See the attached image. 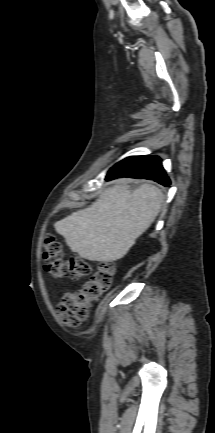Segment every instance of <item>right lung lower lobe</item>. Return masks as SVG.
Returning a JSON list of instances; mask_svg holds the SVG:
<instances>
[{
  "label": "right lung lower lobe",
  "instance_id": "1",
  "mask_svg": "<svg viewBox=\"0 0 215 433\" xmlns=\"http://www.w3.org/2000/svg\"><path fill=\"white\" fill-rule=\"evenodd\" d=\"M118 177L148 179L164 186L170 185V179L167 177L161 160L157 156H131L118 162L110 169L106 179L110 180Z\"/></svg>",
  "mask_w": 215,
  "mask_h": 433
}]
</instances>
